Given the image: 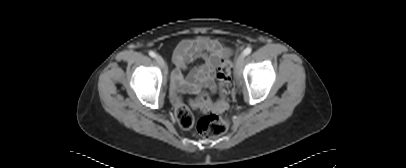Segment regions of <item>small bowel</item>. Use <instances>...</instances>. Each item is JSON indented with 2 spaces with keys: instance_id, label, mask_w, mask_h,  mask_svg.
<instances>
[{
  "instance_id": "small-bowel-1",
  "label": "small bowel",
  "mask_w": 406,
  "mask_h": 168,
  "mask_svg": "<svg viewBox=\"0 0 406 168\" xmlns=\"http://www.w3.org/2000/svg\"><path fill=\"white\" fill-rule=\"evenodd\" d=\"M229 54L230 51L222 44L205 37L181 42L173 52L176 67L172 80L174 102L179 101L176 93L183 91L187 85L195 93H199L203 87L214 93L216 91V69L220 61ZM199 57L204 59V63L195 67L187 78H184L183 73L187 69L188 63ZM202 100L209 102L206 96L202 97Z\"/></svg>"
}]
</instances>
